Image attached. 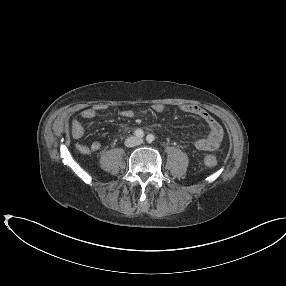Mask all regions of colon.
Here are the masks:
<instances>
[{"label":"colon","mask_w":286,"mask_h":286,"mask_svg":"<svg viewBox=\"0 0 286 286\" xmlns=\"http://www.w3.org/2000/svg\"><path fill=\"white\" fill-rule=\"evenodd\" d=\"M203 161L207 167H214L217 164V159L213 155H206Z\"/></svg>","instance_id":"colon-1"}]
</instances>
